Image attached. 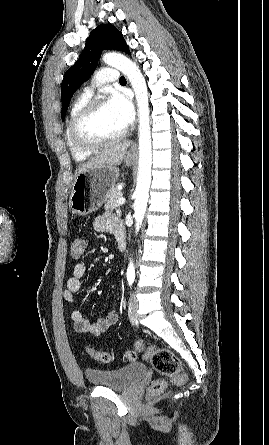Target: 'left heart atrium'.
<instances>
[{
    "label": "left heart atrium",
    "mask_w": 269,
    "mask_h": 445,
    "mask_svg": "<svg viewBox=\"0 0 269 445\" xmlns=\"http://www.w3.org/2000/svg\"><path fill=\"white\" fill-rule=\"evenodd\" d=\"M107 104L116 114L125 128L132 124L135 113L133 104L128 97L119 92H113L110 95Z\"/></svg>",
    "instance_id": "left-heart-atrium-1"
}]
</instances>
